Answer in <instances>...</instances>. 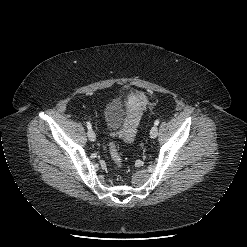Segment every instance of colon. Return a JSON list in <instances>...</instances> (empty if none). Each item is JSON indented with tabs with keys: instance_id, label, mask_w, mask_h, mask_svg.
<instances>
[{
	"instance_id": "1",
	"label": "colon",
	"mask_w": 247,
	"mask_h": 247,
	"mask_svg": "<svg viewBox=\"0 0 247 247\" xmlns=\"http://www.w3.org/2000/svg\"><path fill=\"white\" fill-rule=\"evenodd\" d=\"M110 156L117 168H121L123 165V158L120 154L118 147L114 141H110L109 143Z\"/></svg>"
}]
</instances>
